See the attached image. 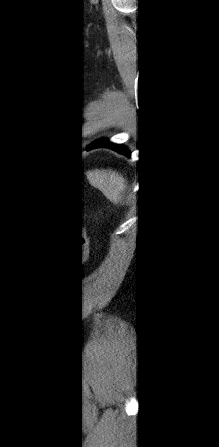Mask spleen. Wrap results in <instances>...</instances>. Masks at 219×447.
Masks as SVG:
<instances>
[{
  "label": "spleen",
  "instance_id": "3e777b00",
  "mask_svg": "<svg viewBox=\"0 0 219 447\" xmlns=\"http://www.w3.org/2000/svg\"><path fill=\"white\" fill-rule=\"evenodd\" d=\"M89 182L98 188L107 199L117 204L125 189L123 177L111 170H95L88 173Z\"/></svg>",
  "mask_w": 219,
  "mask_h": 447
}]
</instances>
